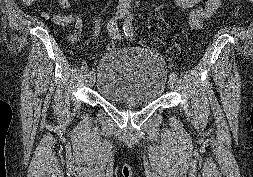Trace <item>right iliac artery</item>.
I'll return each mask as SVG.
<instances>
[{"instance_id":"right-iliac-artery-1","label":"right iliac artery","mask_w":253,"mask_h":177,"mask_svg":"<svg viewBox=\"0 0 253 177\" xmlns=\"http://www.w3.org/2000/svg\"><path fill=\"white\" fill-rule=\"evenodd\" d=\"M108 32L110 34V36L115 39V40H120L121 39V35L119 33L118 30V25H117V17H113L109 23H108ZM92 74H94L93 71L88 72L87 76H91Z\"/></svg>"}]
</instances>
